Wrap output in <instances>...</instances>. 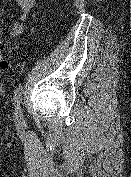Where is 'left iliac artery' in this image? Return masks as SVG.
Returning a JSON list of instances; mask_svg holds the SVG:
<instances>
[{
  "mask_svg": "<svg viewBox=\"0 0 131 177\" xmlns=\"http://www.w3.org/2000/svg\"><path fill=\"white\" fill-rule=\"evenodd\" d=\"M22 92H23V86L19 84L14 93V105L16 109H18L19 111H20L19 106L22 101Z\"/></svg>",
  "mask_w": 131,
  "mask_h": 177,
  "instance_id": "44dca946",
  "label": "left iliac artery"
}]
</instances>
